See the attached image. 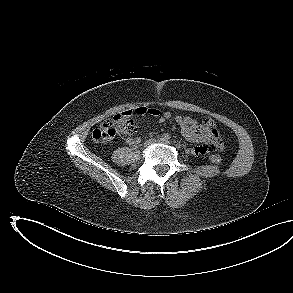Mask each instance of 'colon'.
<instances>
[{"instance_id": "5ec220e1", "label": "colon", "mask_w": 293, "mask_h": 293, "mask_svg": "<svg viewBox=\"0 0 293 293\" xmlns=\"http://www.w3.org/2000/svg\"><path fill=\"white\" fill-rule=\"evenodd\" d=\"M137 130L135 122L129 117L120 114L108 119L99 127L93 130L92 136L95 141H106L116 136H130ZM201 153H205V148H200ZM210 161L216 165L220 164L221 158L213 154Z\"/></svg>"}]
</instances>
